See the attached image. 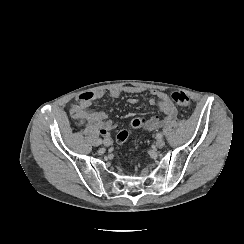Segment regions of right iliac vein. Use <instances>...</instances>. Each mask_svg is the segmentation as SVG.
Returning a JSON list of instances; mask_svg holds the SVG:
<instances>
[{
  "label": "right iliac vein",
  "instance_id": "right-iliac-vein-1",
  "mask_svg": "<svg viewBox=\"0 0 244 244\" xmlns=\"http://www.w3.org/2000/svg\"><path fill=\"white\" fill-rule=\"evenodd\" d=\"M112 144V140L111 138H105L104 139V145L105 146H110Z\"/></svg>",
  "mask_w": 244,
  "mask_h": 244
}]
</instances>
